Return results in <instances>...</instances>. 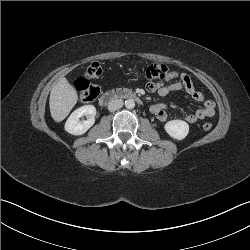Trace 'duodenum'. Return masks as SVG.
<instances>
[{
  "label": "duodenum",
  "mask_w": 250,
  "mask_h": 250,
  "mask_svg": "<svg viewBox=\"0 0 250 250\" xmlns=\"http://www.w3.org/2000/svg\"><path fill=\"white\" fill-rule=\"evenodd\" d=\"M117 99H131L139 103L141 102L140 97L136 93L126 89H115L103 93L99 99V104L106 106Z\"/></svg>",
  "instance_id": "duodenum-1"
}]
</instances>
